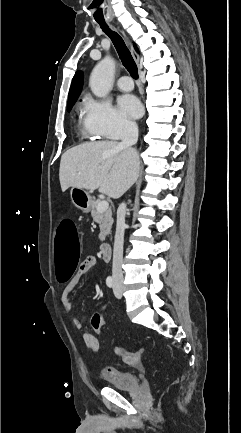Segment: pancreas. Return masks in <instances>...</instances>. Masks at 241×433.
Wrapping results in <instances>:
<instances>
[{
  "label": "pancreas",
  "mask_w": 241,
  "mask_h": 433,
  "mask_svg": "<svg viewBox=\"0 0 241 433\" xmlns=\"http://www.w3.org/2000/svg\"><path fill=\"white\" fill-rule=\"evenodd\" d=\"M99 202L101 201L100 200L92 201L90 210H91V216L93 217V220L99 224V228H100L99 240L104 241L106 236L111 231L113 218H112L111 209H107L102 213L98 212L97 206Z\"/></svg>",
  "instance_id": "1"
}]
</instances>
